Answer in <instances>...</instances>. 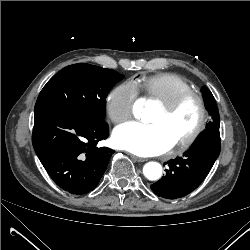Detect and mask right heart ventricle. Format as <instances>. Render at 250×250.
Wrapping results in <instances>:
<instances>
[{"label":"right heart ventricle","mask_w":250,"mask_h":250,"mask_svg":"<svg viewBox=\"0 0 250 250\" xmlns=\"http://www.w3.org/2000/svg\"><path fill=\"white\" fill-rule=\"evenodd\" d=\"M147 100L166 102L178 93L191 89V85L174 73H158L141 77L136 83Z\"/></svg>","instance_id":"obj_1"}]
</instances>
